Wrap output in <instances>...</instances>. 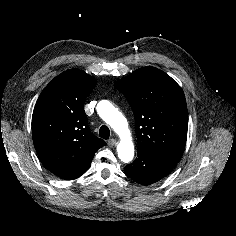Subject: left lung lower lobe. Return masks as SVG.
<instances>
[{
	"mask_svg": "<svg viewBox=\"0 0 236 236\" xmlns=\"http://www.w3.org/2000/svg\"><path fill=\"white\" fill-rule=\"evenodd\" d=\"M137 156L132 164L125 167V173L142 185H150L161 180L178 163L175 160L140 150L137 151Z\"/></svg>",
	"mask_w": 236,
	"mask_h": 236,
	"instance_id": "0a47b994",
	"label": "left lung lower lobe"
}]
</instances>
